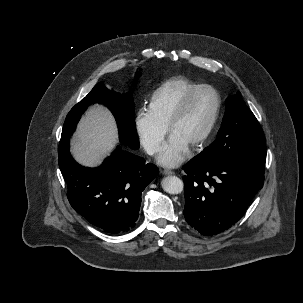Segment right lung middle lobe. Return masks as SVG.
<instances>
[{"label":"right lung middle lobe","instance_id":"obj_1","mask_svg":"<svg viewBox=\"0 0 303 303\" xmlns=\"http://www.w3.org/2000/svg\"><path fill=\"white\" fill-rule=\"evenodd\" d=\"M136 77H139L137 75ZM91 103H101L106 105L113 113L119 130L120 142L127 145L131 149L139 148L135 122H134V103L130 93L119 94L106 89L102 83L95 85L92 91L77 103L68 113L61 135L60 142L69 140L75 131L76 125Z\"/></svg>","mask_w":303,"mask_h":303}]
</instances>
